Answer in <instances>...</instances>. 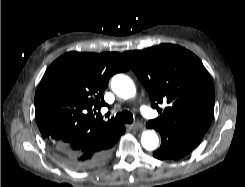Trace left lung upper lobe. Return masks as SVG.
I'll list each match as a JSON object with an SVG mask.
<instances>
[{
  "mask_svg": "<svg viewBox=\"0 0 245 187\" xmlns=\"http://www.w3.org/2000/svg\"><path fill=\"white\" fill-rule=\"evenodd\" d=\"M160 117L148 123L168 130L207 132L215 91L210 74L192 52L173 44L123 53ZM166 103L165 109L159 104Z\"/></svg>",
  "mask_w": 245,
  "mask_h": 187,
  "instance_id": "5c2ea615",
  "label": "left lung upper lobe"
}]
</instances>
